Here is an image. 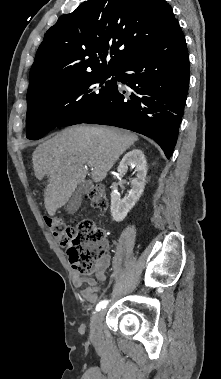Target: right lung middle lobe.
Returning a JSON list of instances; mask_svg holds the SVG:
<instances>
[{"label":"right lung middle lobe","mask_w":221,"mask_h":379,"mask_svg":"<svg viewBox=\"0 0 221 379\" xmlns=\"http://www.w3.org/2000/svg\"><path fill=\"white\" fill-rule=\"evenodd\" d=\"M116 69L81 75L53 84L27 104V135L42 138L56 127L68 126L75 118L88 116L109 97Z\"/></svg>","instance_id":"1"}]
</instances>
